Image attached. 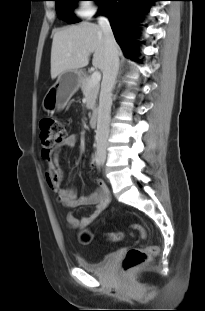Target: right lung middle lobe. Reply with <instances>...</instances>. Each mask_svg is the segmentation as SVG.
<instances>
[{"label":"right lung middle lobe","instance_id":"dd1d6c3e","mask_svg":"<svg viewBox=\"0 0 205 311\" xmlns=\"http://www.w3.org/2000/svg\"><path fill=\"white\" fill-rule=\"evenodd\" d=\"M56 2V10L59 18L65 20L67 23H75V20L72 16V9L75 7L77 1L80 0H54ZM99 1V5L101 0Z\"/></svg>","mask_w":205,"mask_h":311}]
</instances>
